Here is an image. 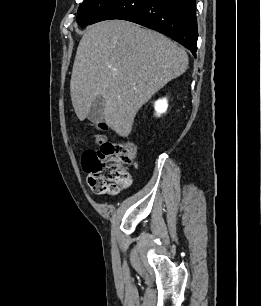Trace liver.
I'll list each match as a JSON object with an SVG mask.
<instances>
[{
    "instance_id": "obj_1",
    "label": "liver",
    "mask_w": 261,
    "mask_h": 306,
    "mask_svg": "<svg viewBox=\"0 0 261 306\" xmlns=\"http://www.w3.org/2000/svg\"><path fill=\"white\" fill-rule=\"evenodd\" d=\"M184 48L166 36L124 20L89 26L77 48L70 80L72 105L84 120L104 98L105 123L128 137L139 109L188 67Z\"/></svg>"
}]
</instances>
